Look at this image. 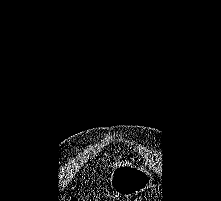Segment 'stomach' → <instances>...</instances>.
Segmentation results:
<instances>
[{
    "mask_svg": "<svg viewBox=\"0 0 221 201\" xmlns=\"http://www.w3.org/2000/svg\"><path fill=\"white\" fill-rule=\"evenodd\" d=\"M152 180V174L145 168L123 164L114 168L110 185L118 195L130 196L148 188Z\"/></svg>",
    "mask_w": 221,
    "mask_h": 201,
    "instance_id": "1",
    "label": "stomach"
}]
</instances>
